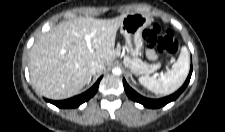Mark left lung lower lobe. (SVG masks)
<instances>
[{"mask_svg":"<svg viewBox=\"0 0 225 132\" xmlns=\"http://www.w3.org/2000/svg\"><path fill=\"white\" fill-rule=\"evenodd\" d=\"M191 74H192V65H191L189 75H188L185 83L183 84V86L174 94L164 97V98H161V99H148V98L142 97L127 84L125 79H123L124 89H125L126 94L133 101L141 103L142 105H144L145 107H148V108H160L162 106H165L167 103L174 101L185 90V88L187 87V85L190 81Z\"/></svg>","mask_w":225,"mask_h":132,"instance_id":"obj_1","label":"left lung lower lobe"}]
</instances>
